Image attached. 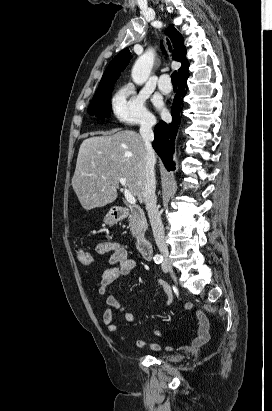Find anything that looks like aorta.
I'll return each instance as SVG.
<instances>
[{"mask_svg": "<svg viewBox=\"0 0 272 411\" xmlns=\"http://www.w3.org/2000/svg\"><path fill=\"white\" fill-rule=\"evenodd\" d=\"M154 56V52L149 50L136 60L131 73L136 84L141 85L148 79L154 64Z\"/></svg>", "mask_w": 272, "mask_h": 411, "instance_id": "1", "label": "aorta"}]
</instances>
